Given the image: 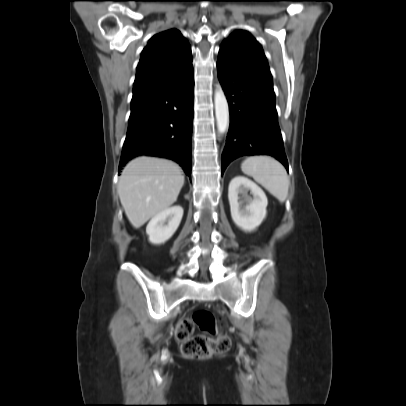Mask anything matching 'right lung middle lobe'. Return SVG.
I'll list each match as a JSON object with an SVG mask.
<instances>
[{"instance_id": "right-lung-middle-lobe-1", "label": "right lung middle lobe", "mask_w": 406, "mask_h": 406, "mask_svg": "<svg viewBox=\"0 0 406 406\" xmlns=\"http://www.w3.org/2000/svg\"><path fill=\"white\" fill-rule=\"evenodd\" d=\"M132 118H133V114L131 113L129 120L132 119Z\"/></svg>"}]
</instances>
